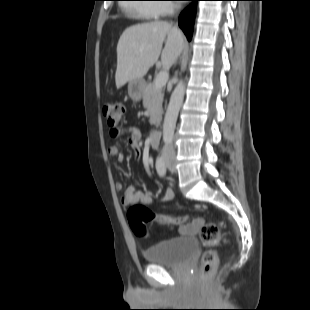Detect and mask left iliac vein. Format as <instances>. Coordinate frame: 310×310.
<instances>
[{
	"instance_id": "1",
	"label": "left iliac vein",
	"mask_w": 310,
	"mask_h": 310,
	"mask_svg": "<svg viewBox=\"0 0 310 310\" xmlns=\"http://www.w3.org/2000/svg\"><path fill=\"white\" fill-rule=\"evenodd\" d=\"M166 165L168 167V169L172 172L175 173L176 172V168H175V159L174 157L170 156L168 157L167 161H166Z\"/></svg>"
}]
</instances>
